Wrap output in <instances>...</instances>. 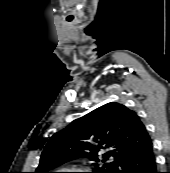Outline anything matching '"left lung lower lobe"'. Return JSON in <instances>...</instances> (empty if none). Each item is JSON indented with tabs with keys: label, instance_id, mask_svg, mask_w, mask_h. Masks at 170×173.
Returning <instances> with one entry per match:
<instances>
[{
	"label": "left lung lower lobe",
	"instance_id": "0a47b994",
	"mask_svg": "<svg viewBox=\"0 0 170 173\" xmlns=\"http://www.w3.org/2000/svg\"><path fill=\"white\" fill-rule=\"evenodd\" d=\"M113 173H158L152 141L140 150L125 155Z\"/></svg>",
	"mask_w": 170,
	"mask_h": 173
}]
</instances>
